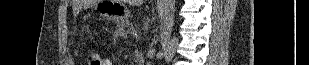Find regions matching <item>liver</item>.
<instances>
[{"mask_svg":"<svg viewBox=\"0 0 309 65\" xmlns=\"http://www.w3.org/2000/svg\"><path fill=\"white\" fill-rule=\"evenodd\" d=\"M123 1L135 5H140L142 3V0H123Z\"/></svg>","mask_w":309,"mask_h":65,"instance_id":"6515ba94","label":"liver"}]
</instances>
